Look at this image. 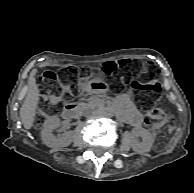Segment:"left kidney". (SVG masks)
Masks as SVG:
<instances>
[{"label":"left kidney","instance_id":"left-kidney-1","mask_svg":"<svg viewBox=\"0 0 194 193\" xmlns=\"http://www.w3.org/2000/svg\"><path fill=\"white\" fill-rule=\"evenodd\" d=\"M134 135L142 138V142L134 141L133 150L137 153H144L150 151L154 143V135L144 128H137L134 130Z\"/></svg>","mask_w":194,"mask_h":193}]
</instances>
